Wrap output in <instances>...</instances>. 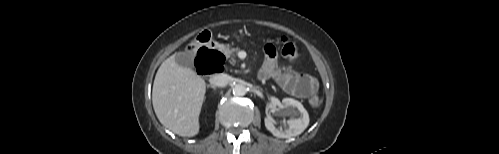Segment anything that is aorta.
<instances>
[{"instance_id":"aorta-1","label":"aorta","mask_w":499,"mask_h":154,"mask_svg":"<svg viewBox=\"0 0 499 154\" xmlns=\"http://www.w3.org/2000/svg\"><path fill=\"white\" fill-rule=\"evenodd\" d=\"M246 92H247V89H246L245 85H243V84H237L233 87V94L235 96H238V97L244 96L246 94Z\"/></svg>"}]
</instances>
